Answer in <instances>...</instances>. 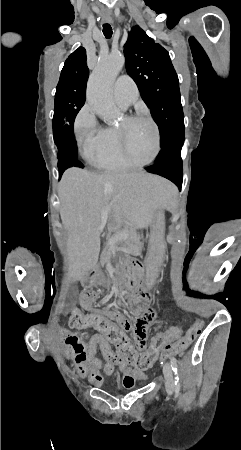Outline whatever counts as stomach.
I'll list each match as a JSON object with an SVG mask.
<instances>
[{"label":"stomach","instance_id":"1","mask_svg":"<svg viewBox=\"0 0 241 450\" xmlns=\"http://www.w3.org/2000/svg\"><path fill=\"white\" fill-rule=\"evenodd\" d=\"M166 242L164 238V224L162 213L157 214V218L151 229L148 252L145 258L146 281L152 286L158 276L161 265L164 261Z\"/></svg>","mask_w":241,"mask_h":450}]
</instances>
